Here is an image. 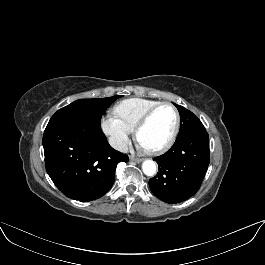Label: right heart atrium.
Returning <instances> with one entry per match:
<instances>
[{
    "label": "right heart atrium",
    "mask_w": 265,
    "mask_h": 265,
    "mask_svg": "<svg viewBox=\"0 0 265 265\" xmlns=\"http://www.w3.org/2000/svg\"><path fill=\"white\" fill-rule=\"evenodd\" d=\"M101 126L112 146L119 151H124L129 143L132 130L112 113L103 116Z\"/></svg>",
    "instance_id": "d8ad5b80"
}]
</instances>
